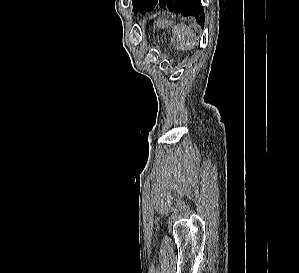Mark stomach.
Masks as SVG:
<instances>
[{
  "instance_id": "stomach-1",
  "label": "stomach",
  "mask_w": 299,
  "mask_h": 273,
  "mask_svg": "<svg viewBox=\"0 0 299 273\" xmlns=\"http://www.w3.org/2000/svg\"><path fill=\"white\" fill-rule=\"evenodd\" d=\"M170 25H171L170 21L165 20V19H159V20L157 21V26H158V27H162V28H164V27H168V26H170Z\"/></svg>"
}]
</instances>
